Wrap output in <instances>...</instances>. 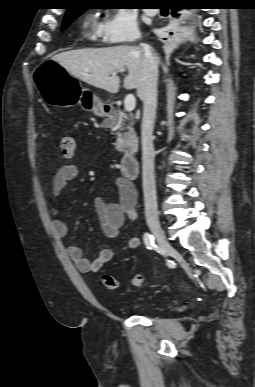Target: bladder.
Segmentation results:
<instances>
[{
  "mask_svg": "<svg viewBox=\"0 0 255 387\" xmlns=\"http://www.w3.org/2000/svg\"><path fill=\"white\" fill-rule=\"evenodd\" d=\"M151 305H152V303L142 304V305H139L138 308L144 310V309L148 308Z\"/></svg>",
  "mask_w": 255,
  "mask_h": 387,
  "instance_id": "1",
  "label": "bladder"
}]
</instances>
